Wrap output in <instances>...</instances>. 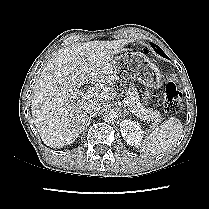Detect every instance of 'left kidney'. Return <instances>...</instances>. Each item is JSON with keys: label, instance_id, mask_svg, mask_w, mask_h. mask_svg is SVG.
<instances>
[{"label": "left kidney", "instance_id": "1", "mask_svg": "<svg viewBox=\"0 0 209 209\" xmlns=\"http://www.w3.org/2000/svg\"><path fill=\"white\" fill-rule=\"evenodd\" d=\"M120 131L127 144L134 147L141 145L143 131L137 122L128 119L123 120L120 123Z\"/></svg>", "mask_w": 209, "mask_h": 209}]
</instances>
